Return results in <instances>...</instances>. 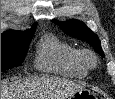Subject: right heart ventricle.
<instances>
[{
    "label": "right heart ventricle",
    "instance_id": "right-heart-ventricle-1",
    "mask_svg": "<svg viewBox=\"0 0 115 99\" xmlns=\"http://www.w3.org/2000/svg\"><path fill=\"white\" fill-rule=\"evenodd\" d=\"M34 66L42 72L72 78H83L88 71L82 51L53 34H47L41 39L37 47Z\"/></svg>",
    "mask_w": 115,
    "mask_h": 99
}]
</instances>
